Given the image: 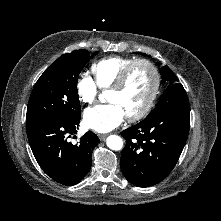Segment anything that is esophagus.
Segmentation results:
<instances>
[{
	"label": "esophagus",
	"mask_w": 221,
	"mask_h": 221,
	"mask_svg": "<svg viewBox=\"0 0 221 221\" xmlns=\"http://www.w3.org/2000/svg\"><path fill=\"white\" fill-rule=\"evenodd\" d=\"M98 137H99V139H100L101 141H103V140H105V138L107 137V135H106V134H99Z\"/></svg>",
	"instance_id": "1"
}]
</instances>
